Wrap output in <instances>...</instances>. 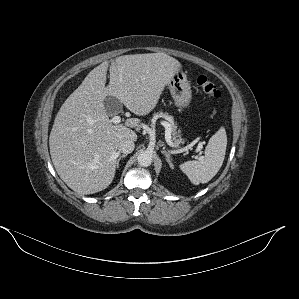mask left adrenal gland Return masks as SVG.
Returning <instances> with one entry per match:
<instances>
[{
  "mask_svg": "<svg viewBox=\"0 0 299 299\" xmlns=\"http://www.w3.org/2000/svg\"><path fill=\"white\" fill-rule=\"evenodd\" d=\"M162 153L166 156V161L169 164L171 169H174V165L172 163L171 155L168 151L165 150V147H163Z\"/></svg>",
  "mask_w": 299,
  "mask_h": 299,
  "instance_id": "1",
  "label": "left adrenal gland"
}]
</instances>
